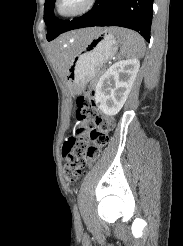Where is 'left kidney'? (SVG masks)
<instances>
[{
  "mask_svg": "<svg viewBox=\"0 0 183 246\" xmlns=\"http://www.w3.org/2000/svg\"><path fill=\"white\" fill-rule=\"evenodd\" d=\"M136 58L120 60L111 65L100 77L95 90V101L99 109L108 116L116 115L131 91L139 71Z\"/></svg>",
  "mask_w": 183,
  "mask_h": 246,
  "instance_id": "obj_1",
  "label": "left kidney"
}]
</instances>
